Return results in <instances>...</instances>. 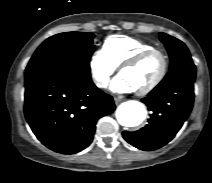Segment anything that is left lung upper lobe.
<instances>
[{"mask_svg":"<svg viewBox=\"0 0 212 183\" xmlns=\"http://www.w3.org/2000/svg\"><path fill=\"white\" fill-rule=\"evenodd\" d=\"M160 40L165 44L168 50L171 67L179 61L190 58V52L182 41L165 33H160Z\"/></svg>","mask_w":212,"mask_h":183,"instance_id":"5c2ea615","label":"left lung upper lobe"}]
</instances>
